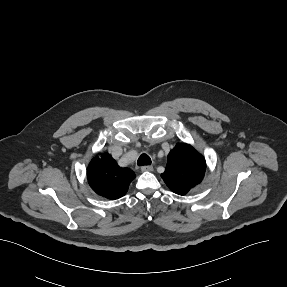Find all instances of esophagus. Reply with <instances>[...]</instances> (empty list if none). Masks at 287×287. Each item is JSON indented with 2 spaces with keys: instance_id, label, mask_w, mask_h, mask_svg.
Wrapping results in <instances>:
<instances>
[{
  "instance_id": "1",
  "label": "esophagus",
  "mask_w": 287,
  "mask_h": 287,
  "mask_svg": "<svg viewBox=\"0 0 287 287\" xmlns=\"http://www.w3.org/2000/svg\"><path fill=\"white\" fill-rule=\"evenodd\" d=\"M141 171L142 172H151V171H153V167L152 166H142Z\"/></svg>"
}]
</instances>
